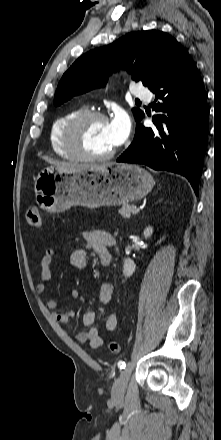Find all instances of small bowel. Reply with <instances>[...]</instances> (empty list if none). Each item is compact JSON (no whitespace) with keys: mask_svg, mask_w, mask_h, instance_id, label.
I'll return each mask as SVG.
<instances>
[{"mask_svg":"<svg viewBox=\"0 0 221 440\" xmlns=\"http://www.w3.org/2000/svg\"><path fill=\"white\" fill-rule=\"evenodd\" d=\"M114 243L113 237L102 230H92L84 233V248L75 249L70 256V264L73 268L82 270L87 267L86 249L93 250L104 263L106 259H111V254L108 247ZM55 249L49 248L46 250L41 259V282L37 284L36 291L39 295H46V286L51 280V264L55 256ZM71 296L74 299L79 297V291L73 290ZM113 297V287L111 283L105 282L99 289L98 298L101 304H109ZM47 307L53 311L54 318L63 324L70 323L75 315L74 310H67L63 312L57 311L59 302L55 299H48L46 301ZM96 320L95 311H87L82 318L83 324L89 329L81 331L77 334V340L80 343H87L91 348H99L103 344V339L97 328L93 327ZM117 327V316L114 313L107 315L105 319V328L109 332H113Z\"/></svg>","mask_w":221,"mask_h":440,"instance_id":"1","label":"small bowel"}]
</instances>
